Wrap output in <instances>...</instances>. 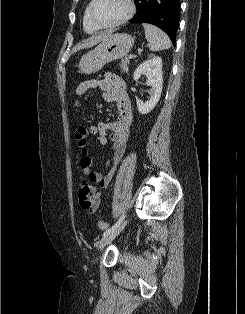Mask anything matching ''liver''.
I'll return each instance as SVG.
<instances>
[{
	"mask_svg": "<svg viewBox=\"0 0 245 314\" xmlns=\"http://www.w3.org/2000/svg\"><path fill=\"white\" fill-rule=\"evenodd\" d=\"M111 34H112V32L109 31V32H104L98 36L88 38L85 41H83L82 43L77 44L73 48V53H76L77 51H79L81 49L90 48V47L96 45L97 43H99L100 41L104 40L105 38H107Z\"/></svg>",
	"mask_w": 245,
	"mask_h": 314,
	"instance_id": "liver-1",
	"label": "liver"
}]
</instances>
